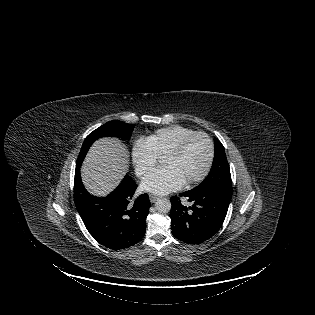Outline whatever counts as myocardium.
<instances>
[{
    "label": "myocardium",
    "instance_id": "1",
    "mask_svg": "<svg viewBox=\"0 0 315 315\" xmlns=\"http://www.w3.org/2000/svg\"><path fill=\"white\" fill-rule=\"evenodd\" d=\"M196 137H204L208 143V158L206 161V164L204 166V169L201 171V173L187 181H185L186 185H193L196 183L201 182L204 180L207 175L209 174L213 160H214V154H215V149H214V143L211 137L205 133V132H194L183 139H181L176 145H174L165 155L164 158L166 157H174L180 155L185 147L188 145V143L193 140Z\"/></svg>",
    "mask_w": 315,
    "mask_h": 315
}]
</instances>
